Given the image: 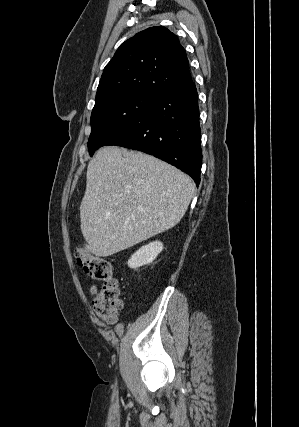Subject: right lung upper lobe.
<instances>
[{
  "label": "right lung upper lobe",
  "instance_id": "right-lung-upper-lobe-1",
  "mask_svg": "<svg viewBox=\"0 0 299 427\" xmlns=\"http://www.w3.org/2000/svg\"><path fill=\"white\" fill-rule=\"evenodd\" d=\"M190 82L189 62L177 36L163 26L151 27L120 45L104 68L96 102L120 93L155 98Z\"/></svg>",
  "mask_w": 299,
  "mask_h": 427
}]
</instances>
